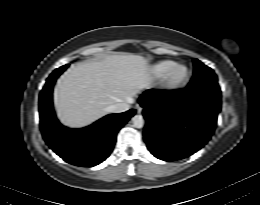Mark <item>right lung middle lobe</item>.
<instances>
[{"label": "right lung middle lobe", "mask_w": 260, "mask_h": 205, "mask_svg": "<svg viewBox=\"0 0 260 205\" xmlns=\"http://www.w3.org/2000/svg\"><path fill=\"white\" fill-rule=\"evenodd\" d=\"M68 66V64L67 65H64V67H67Z\"/></svg>", "instance_id": "right-lung-middle-lobe-1"}]
</instances>
